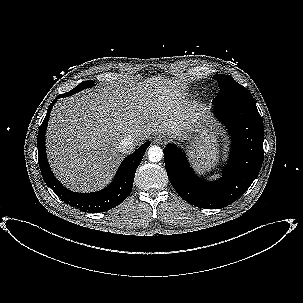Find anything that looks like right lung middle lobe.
I'll return each mask as SVG.
<instances>
[{"label":"right lung middle lobe","instance_id":"dd1d6c3e","mask_svg":"<svg viewBox=\"0 0 303 303\" xmlns=\"http://www.w3.org/2000/svg\"><path fill=\"white\" fill-rule=\"evenodd\" d=\"M94 86V81H85V82H82L80 83L79 85H77L74 89H72L71 91L65 93L66 96H71L85 88H89V87H92Z\"/></svg>","mask_w":303,"mask_h":303}]
</instances>
